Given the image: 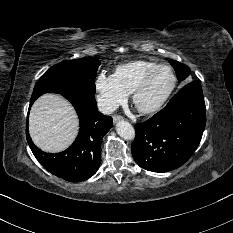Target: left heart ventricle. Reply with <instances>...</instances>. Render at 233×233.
Returning <instances> with one entry per match:
<instances>
[{
	"label": "left heart ventricle",
	"mask_w": 233,
	"mask_h": 233,
	"mask_svg": "<svg viewBox=\"0 0 233 233\" xmlns=\"http://www.w3.org/2000/svg\"><path fill=\"white\" fill-rule=\"evenodd\" d=\"M172 82V75L169 70H159L149 81L147 87L142 91L137 100L140 108L154 106L166 93Z\"/></svg>",
	"instance_id": "left-heart-ventricle-1"
}]
</instances>
